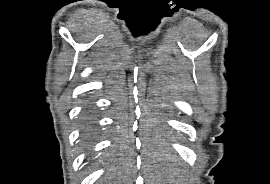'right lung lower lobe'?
<instances>
[{
  "label": "right lung lower lobe",
  "mask_w": 270,
  "mask_h": 184,
  "mask_svg": "<svg viewBox=\"0 0 270 184\" xmlns=\"http://www.w3.org/2000/svg\"><path fill=\"white\" fill-rule=\"evenodd\" d=\"M91 132L90 126L85 127V134L88 135Z\"/></svg>",
  "instance_id": "obj_1"
}]
</instances>
